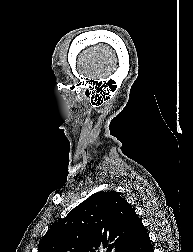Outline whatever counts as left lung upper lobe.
Returning <instances> with one entry per match:
<instances>
[{
  "label": "left lung upper lobe",
  "instance_id": "obj_1",
  "mask_svg": "<svg viewBox=\"0 0 193 252\" xmlns=\"http://www.w3.org/2000/svg\"><path fill=\"white\" fill-rule=\"evenodd\" d=\"M141 222L118 192H97L56 222L38 252H124Z\"/></svg>",
  "mask_w": 193,
  "mask_h": 252
}]
</instances>
